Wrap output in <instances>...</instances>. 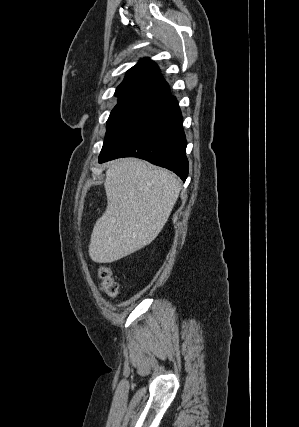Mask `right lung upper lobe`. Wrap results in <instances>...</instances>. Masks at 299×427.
Returning <instances> with one entry per match:
<instances>
[{
    "instance_id": "right-lung-upper-lobe-1",
    "label": "right lung upper lobe",
    "mask_w": 299,
    "mask_h": 427,
    "mask_svg": "<svg viewBox=\"0 0 299 427\" xmlns=\"http://www.w3.org/2000/svg\"><path fill=\"white\" fill-rule=\"evenodd\" d=\"M115 95L120 99H136L156 103L170 96L169 86L150 59H142L127 71Z\"/></svg>"
}]
</instances>
